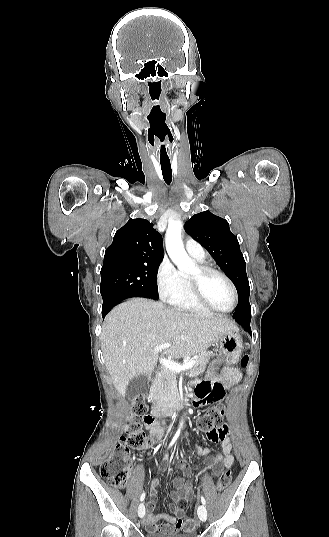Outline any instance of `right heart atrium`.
Here are the masks:
<instances>
[{"label":"right heart atrium","instance_id":"1","mask_svg":"<svg viewBox=\"0 0 329 537\" xmlns=\"http://www.w3.org/2000/svg\"><path fill=\"white\" fill-rule=\"evenodd\" d=\"M156 287L159 296L171 302L184 288V278L168 258H163L156 272Z\"/></svg>","mask_w":329,"mask_h":537}]
</instances>
